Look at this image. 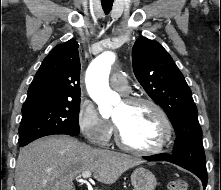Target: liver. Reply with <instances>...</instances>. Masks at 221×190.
Returning a JSON list of instances; mask_svg holds the SVG:
<instances>
[{
  "label": "liver",
  "instance_id": "1",
  "mask_svg": "<svg viewBox=\"0 0 221 190\" xmlns=\"http://www.w3.org/2000/svg\"><path fill=\"white\" fill-rule=\"evenodd\" d=\"M142 160L124 153L96 149L67 136L38 139L22 148L15 169L17 190H74L73 180L85 171L113 184Z\"/></svg>",
  "mask_w": 221,
  "mask_h": 190
}]
</instances>
